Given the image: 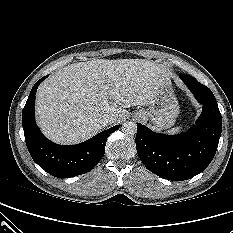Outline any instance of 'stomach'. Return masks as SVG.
<instances>
[{
	"label": "stomach",
	"instance_id": "0dacf381",
	"mask_svg": "<svg viewBox=\"0 0 233 233\" xmlns=\"http://www.w3.org/2000/svg\"><path fill=\"white\" fill-rule=\"evenodd\" d=\"M179 114V105L171 82L167 80L157 90L155 98L145 107L135 113V117L151 120L157 130L172 127Z\"/></svg>",
	"mask_w": 233,
	"mask_h": 233
}]
</instances>
